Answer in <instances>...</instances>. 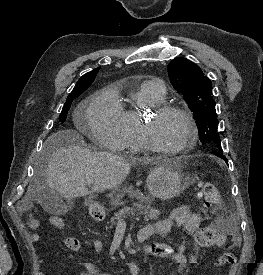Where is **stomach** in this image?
Instances as JSON below:
<instances>
[{
  "label": "stomach",
  "instance_id": "0dacf381",
  "mask_svg": "<svg viewBox=\"0 0 263 275\" xmlns=\"http://www.w3.org/2000/svg\"><path fill=\"white\" fill-rule=\"evenodd\" d=\"M182 179L180 170L167 164H160L151 170L146 182L149 193L154 198L167 200L177 196L183 190ZM96 207V204L90 205L91 209Z\"/></svg>",
  "mask_w": 263,
  "mask_h": 275
}]
</instances>
